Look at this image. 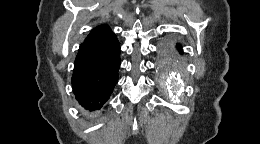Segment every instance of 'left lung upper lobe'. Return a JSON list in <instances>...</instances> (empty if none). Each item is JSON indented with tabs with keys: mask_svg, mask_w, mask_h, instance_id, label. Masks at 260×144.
Listing matches in <instances>:
<instances>
[{
	"mask_svg": "<svg viewBox=\"0 0 260 144\" xmlns=\"http://www.w3.org/2000/svg\"><path fill=\"white\" fill-rule=\"evenodd\" d=\"M163 50L167 51V52H171L173 50L172 46L170 43H166L164 46H163Z\"/></svg>",
	"mask_w": 260,
	"mask_h": 144,
	"instance_id": "5c2ea615",
	"label": "left lung upper lobe"
}]
</instances>
